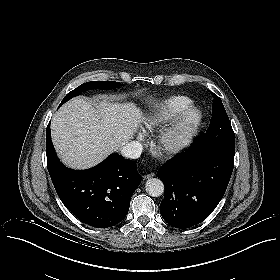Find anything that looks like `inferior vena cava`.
<instances>
[{"instance_id": "obj_1", "label": "inferior vena cava", "mask_w": 280, "mask_h": 280, "mask_svg": "<svg viewBox=\"0 0 280 280\" xmlns=\"http://www.w3.org/2000/svg\"><path fill=\"white\" fill-rule=\"evenodd\" d=\"M143 150V146L138 141H131L127 143L121 150V154L124 157L137 159L140 157Z\"/></svg>"}]
</instances>
